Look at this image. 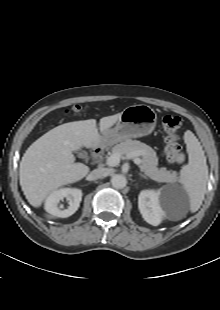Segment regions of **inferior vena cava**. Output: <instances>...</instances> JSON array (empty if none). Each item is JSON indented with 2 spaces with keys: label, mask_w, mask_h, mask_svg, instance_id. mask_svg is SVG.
Masks as SVG:
<instances>
[{
  "label": "inferior vena cava",
  "mask_w": 220,
  "mask_h": 310,
  "mask_svg": "<svg viewBox=\"0 0 220 310\" xmlns=\"http://www.w3.org/2000/svg\"><path fill=\"white\" fill-rule=\"evenodd\" d=\"M106 170L104 168H98L90 172L88 175V180L93 181L102 178L105 176Z\"/></svg>",
  "instance_id": "1"
}]
</instances>
